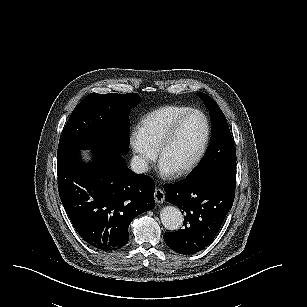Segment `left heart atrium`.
Returning <instances> with one entry per match:
<instances>
[{"label":"left heart atrium","mask_w":307,"mask_h":307,"mask_svg":"<svg viewBox=\"0 0 307 307\" xmlns=\"http://www.w3.org/2000/svg\"><path fill=\"white\" fill-rule=\"evenodd\" d=\"M169 167L170 164L166 160L161 161L158 165L159 172L163 176L164 180L167 182H172L175 180L177 172L175 169Z\"/></svg>","instance_id":"left-heart-atrium-1"}]
</instances>
